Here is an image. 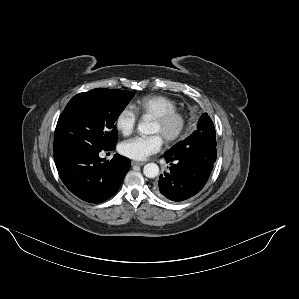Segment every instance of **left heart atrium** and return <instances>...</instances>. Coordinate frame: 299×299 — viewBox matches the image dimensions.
Segmentation results:
<instances>
[{"label": "left heart atrium", "instance_id": "39dd6f15", "mask_svg": "<svg viewBox=\"0 0 299 299\" xmlns=\"http://www.w3.org/2000/svg\"><path fill=\"white\" fill-rule=\"evenodd\" d=\"M163 138L160 134L150 136H136L123 141L119 145V152L130 159L144 160L160 151Z\"/></svg>", "mask_w": 299, "mask_h": 299}]
</instances>
